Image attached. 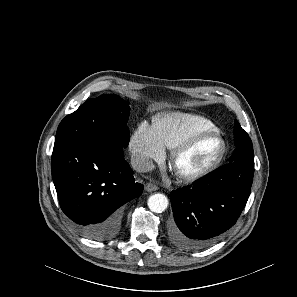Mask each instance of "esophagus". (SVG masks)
Instances as JSON below:
<instances>
[{
    "instance_id": "34e87169",
    "label": "esophagus",
    "mask_w": 297,
    "mask_h": 297,
    "mask_svg": "<svg viewBox=\"0 0 297 297\" xmlns=\"http://www.w3.org/2000/svg\"><path fill=\"white\" fill-rule=\"evenodd\" d=\"M158 186L154 183L148 182L145 184V190L148 192L156 191Z\"/></svg>"
}]
</instances>
